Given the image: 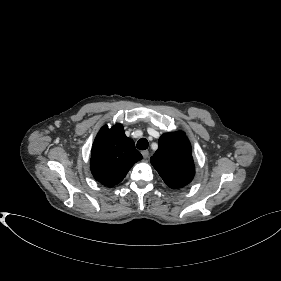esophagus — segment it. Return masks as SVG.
Returning <instances> with one entry per match:
<instances>
[{
    "label": "esophagus",
    "instance_id": "esophagus-1",
    "mask_svg": "<svg viewBox=\"0 0 281 281\" xmlns=\"http://www.w3.org/2000/svg\"><path fill=\"white\" fill-rule=\"evenodd\" d=\"M141 154L143 155L144 158H148L149 151L148 150H144V151L141 152Z\"/></svg>",
    "mask_w": 281,
    "mask_h": 281
}]
</instances>
